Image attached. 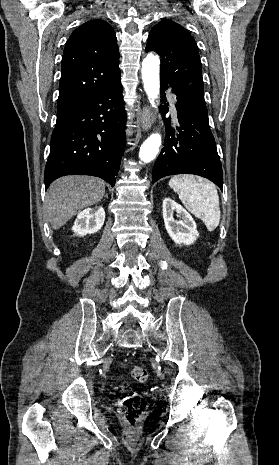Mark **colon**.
<instances>
[{
	"mask_svg": "<svg viewBox=\"0 0 279 465\" xmlns=\"http://www.w3.org/2000/svg\"><path fill=\"white\" fill-rule=\"evenodd\" d=\"M128 374L138 382H145L148 378L146 369L133 366L127 370ZM146 399L134 390H123L119 400V412L128 427L133 431L139 419L146 410Z\"/></svg>",
	"mask_w": 279,
	"mask_h": 465,
	"instance_id": "1",
	"label": "colon"
}]
</instances>
